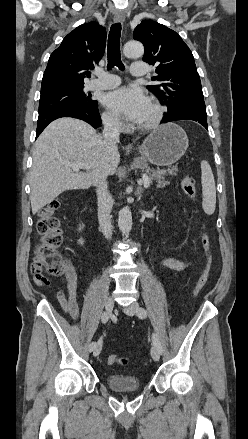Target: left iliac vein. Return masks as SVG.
Returning <instances> with one entry per match:
<instances>
[{"label":"left iliac vein","instance_id":"4c4485c4","mask_svg":"<svg viewBox=\"0 0 248 439\" xmlns=\"http://www.w3.org/2000/svg\"><path fill=\"white\" fill-rule=\"evenodd\" d=\"M139 310H140V306L136 302H133L129 306L124 307V311L127 314L132 315V316L136 315L140 318H143V315L140 314ZM151 356H152L154 361H159V359H160V352L155 345H153L151 348Z\"/></svg>","mask_w":248,"mask_h":439}]
</instances>
